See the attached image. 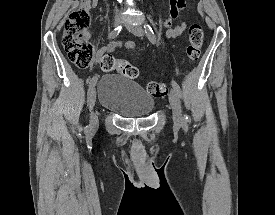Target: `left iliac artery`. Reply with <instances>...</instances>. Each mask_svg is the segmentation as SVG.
<instances>
[{
	"instance_id": "obj_1",
	"label": "left iliac artery",
	"mask_w": 275,
	"mask_h": 215,
	"mask_svg": "<svg viewBox=\"0 0 275 215\" xmlns=\"http://www.w3.org/2000/svg\"><path fill=\"white\" fill-rule=\"evenodd\" d=\"M144 29H145V32L148 36V39L151 41V43H153V44L156 43V37L154 35L152 28L148 24H145ZM171 83H172L173 89L177 92V94L179 96H181V89H180V86L177 84V82L172 80ZM189 119L190 118L188 115H184L185 122L189 121Z\"/></svg>"
}]
</instances>
